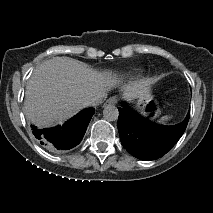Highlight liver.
Masks as SVG:
<instances>
[{
    "label": "liver",
    "instance_id": "liver-1",
    "mask_svg": "<svg viewBox=\"0 0 213 213\" xmlns=\"http://www.w3.org/2000/svg\"><path fill=\"white\" fill-rule=\"evenodd\" d=\"M121 83L118 76L99 73L73 58L54 57L38 66L27 83L26 114L39 127L62 123L87 107V99ZM149 86L142 80L121 88L127 97L137 98L147 95Z\"/></svg>",
    "mask_w": 213,
    "mask_h": 213
}]
</instances>
